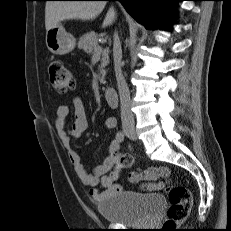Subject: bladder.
<instances>
[{
    "instance_id": "obj_1",
    "label": "bladder",
    "mask_w": 231,
    "mask_h": 231,
    "mask_svg": "<svg viewBox=\"0 0 231 231\" xmlns=\"http://www.w3.org/2000/svg\"><path fill=\"white\" fill-rule=\"evenodd\" d=\"M165 207L166 202L162 195L119 193L100 201L97 209L108 222L137 226L156 219Z\"/></svg>"
}]
</instances>
